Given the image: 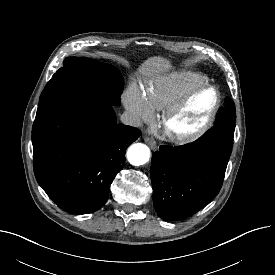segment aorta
Returning a JSON list of instances; mask_svg holds the SVG:
<instances>
[{
    "mask_svg": "<svg viewBox=\"0 0 275 275\" xmlns=\"http://www.w3.org/2000/svg\"><path fill=\"white\" fill-rule=\"evenodd\" d=\"M127 159L134 166L144 165L150 159V149L145 144L135 143L129 147Z\"/></svg>",
    "mask_w": 275,
    "mask_h": 275,
    "instance_id": "1",
    "label": "aorta"
}]
</instances>
